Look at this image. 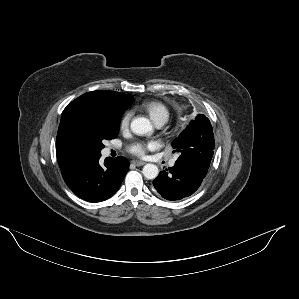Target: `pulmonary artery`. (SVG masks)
Wrapping results in <instances>:
<instances>
[{
    "instance_id": "obj_1",
    "label": "pulmonary artery",
    "mask_w": 299,
    "mask_h": 299,
    "mask_svg": "<svg viewBox=\"0 0 299 299\" xmlns=\"http://www.w3.org/2000/svg\"><path fill=\"white\" fill-rule=\"evenodd\" d=\"M165 123H166V122H164V121H160V122L156 123V126H157L158 128H160V127H162ZM174 164H175V159H172V160L169 161V166H173Z\"/></svg>"
}]
</instances>
